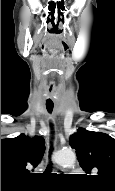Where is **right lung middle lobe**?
<instances>
[{
  "mask_svg": "<svg viewBox=\"0 0 115 191\" xmlns=\"http://www.w3.org/2000/svg\"><path fill=\"white\" fill-rule=\"evenodd\" d=\"M9 190H13L12 188H1V191H9Z\"/></svg>",
  "mask_w": 115,
  "mask_h": 191,
  "instance_id": "dd1d6c3e",
  "label": "right lung middle lobe"
}]
</instances>
